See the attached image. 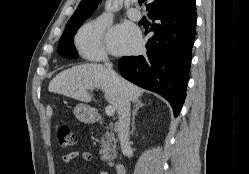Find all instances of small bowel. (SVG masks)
I'll list each match as a JSON object with an SVG mask.
<instances>
[{"instance_id": "small-bowel-1", "label": "small bowel", "mask_w": 249, "mask_h": 174, "mask_svg": "<svg viewBox=\"0 0 249 174\" xmlns=\"http://www.w3.org/2000/svg\"><path fill=\"white\" fill-rule=\"evenodd\" d=\"M79 156L85 162H91L93 159L92 155L89 152H79L76 150L63 155L62 161L65 166H69L72 163V161ZM100 174H108V172L101 171Z\"/></svg>"}]
</instances>
